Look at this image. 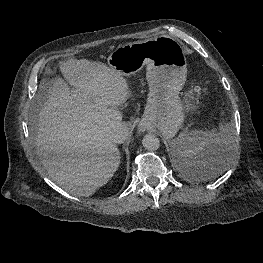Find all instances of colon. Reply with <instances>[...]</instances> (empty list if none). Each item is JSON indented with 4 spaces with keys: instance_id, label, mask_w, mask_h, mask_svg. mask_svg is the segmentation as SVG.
I'll return each mask as SVG.
<instances>
[{
    "instance_id": "1",
    "label": "colon",
    "mask_w": 263,
    "mask_h": 263,
    "mask_svg": "<svg viewBox=\"0 0 263 263\" xmlns=\"http://www.w3.org/2000/svg\"><path fill=\"white\" fill-rule=\"evenodd\" d=\"M195 93H196L197 96H203V95L206 94V90H205V89H202V88H197V89L195 90Z\"/></svg>"
}]
</instances>
